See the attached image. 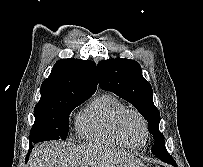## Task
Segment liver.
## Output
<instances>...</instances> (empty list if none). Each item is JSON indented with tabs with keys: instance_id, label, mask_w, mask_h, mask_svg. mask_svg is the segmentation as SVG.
Returning <instances> with one entry per match:
<instances>
[{
	"instance_id": "liver-1",
	"label": "liver",
	"mask_w": 203,
	"mask_h": 167,
	"mask_svg": "<svg viewBox=\"0 0 203 167\" xmlns=\"http://www.w3.org/2000/svg\"><path fill=\"white\" fill-rule=\"evenodd\" d=\"M27 167H146L139 159L106 148L50 141L35 148Z\"/></svg>"
}]
</instances>
